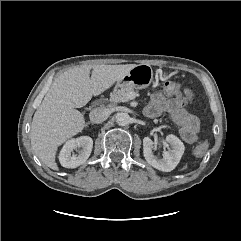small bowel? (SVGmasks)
<instances>
[{"label":"small bowel","mask_w":241,"mask_h":241,"mask_svg":"<svg viewBox=\"0 0 241 241\" xmlns=\"http://www.w3.org/2000/svg\"><path fill=\"white\" fill-rule=\"evenodd\" d=\"M187 101H191L193 95L191 91L186 90ZM147 115L151 117L160 116L168 113L173 121L180 128V135L187 143H193L197 139L199 132V121L195 115L190 113L185 107V100L180 98H168L162 93L152 95L151 101L146 108Z\"/></svg>","instance_id":"1"}]
</instances>
